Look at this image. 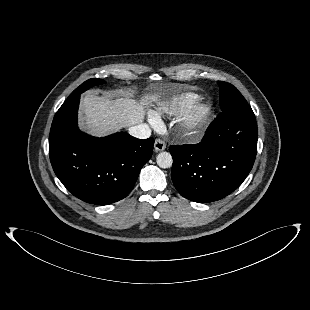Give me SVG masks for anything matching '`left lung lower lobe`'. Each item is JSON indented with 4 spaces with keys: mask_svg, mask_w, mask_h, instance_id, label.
Here are the masks:
<instances>
[{
    "mask_svg": "<svg viewBox=\"0 0 310 310\" xmlns=\"http://www.w3.org/2000/svg\"><path fill=\"white\" fill-rule=\"evenodd\" d=\"M172 181L195 202L217 201L245 180L257 150V124L249 105L221 112L195 145H172Z\"/></svg>",
    "mask_w": 310,
    "mask_h": 310,
    "instance_id": "obj_1",
    "label": "left lung lower lobe"
}]
</instances>
